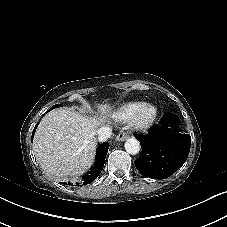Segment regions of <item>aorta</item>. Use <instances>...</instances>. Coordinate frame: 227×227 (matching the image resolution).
<instances>
[{
    "instance_id": "762f6f07",
    "label": "aorta",
    "mask_w": 227,
    "mask_h": 227,
    "mask_svg": "<svg viewBox=\"0 0 227 227\" xmlns=\"http://www.w3.org/2000/svg\"><path fill=\"white\" fill-rule=\"evenodd\" d=\"M125 150L131 155H136L140 151V143L136 138H129L125 142Z\"/></svg>"
}]
</instances>
